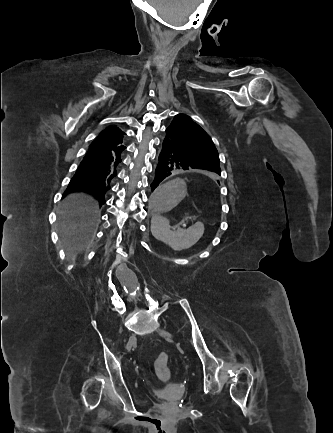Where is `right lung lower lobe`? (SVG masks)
I'll return each instance as SVG.
<instances>
[{
  "label": "right lung lower lobe",
  "mask_w": 333,
  "mask_h": 433,
  "mask_svg": "<svg viewBox=\"0 0 333 433\" xmlns=\"http://www.w3.org/2000/svg\"><path fill=\"white\" fill-rule=\"evenodd\" d=\"M125 148L124 145L101 146L95 139L64 195L71 192H88L94 194L102 206L105 203V194L111 188V181L117 176Z\"/></svg>",
  "instance_id": "1"
}]
</instances>
